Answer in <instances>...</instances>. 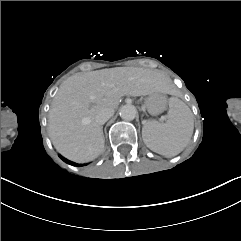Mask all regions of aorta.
I'll use <instances>...</instances> for the list:
<instances>
[{"label": "aorta", "instance_id": "aorta-1", "mask_svg": "<svg viewBox=\"0 0 241 241\" xmlns=\"http://www.w3.org/2000/svg\"><path fill=\"white\" fill-rule=\"evenodd\" d=\"M136 115H137V110L131 104H126V105L122 106L120 109V117L123 120L131 121L136 117Z\"/></svg>", "mask_w": 241, "mask_h": 241}]
</instances>
